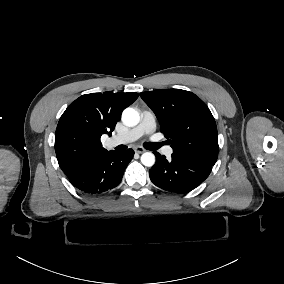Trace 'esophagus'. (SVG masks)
<instances>
[{"instance_id": "esophagus-1", "label": "esophagus", "mask_w": 284, "mask_h": 284, "mask_svg": "<svg viewBox=\"0 0 284 284\" xmlns=\"http://www.w3.org/2000/svg\"><path fill=\"white\" fill-rule=\"evenodd\" d=\"M133 149L138 154H141V153L145 152V149L143 147H141V146H134Z\"/></svg>"}]
</instances>
